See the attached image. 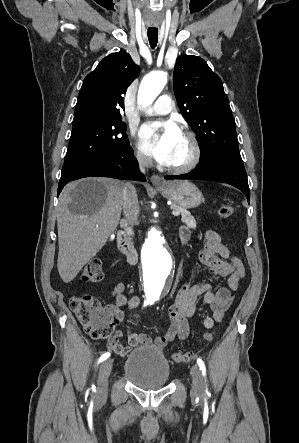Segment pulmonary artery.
<instances>
[{
	"instance_id": "1",
	"label": "pulmonary artery",
	"mask_w": 299,
	"mask_h": 443,
	"mask_svg": "<svg viewBox=\"0 0 299 443\" xmlns=\"http://www.w3.org/2000/svg\"><path fill=\"white\" fill-rule=\"evenodd\" d=\"M174 103L169 95H161L149 108L148 112L154 115H165L172 111Z\"/></svg>"
}]
</instances>
